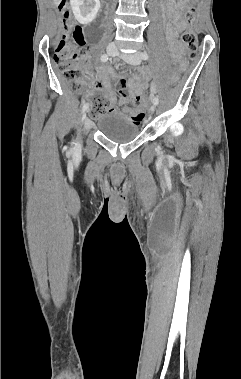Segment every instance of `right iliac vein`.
I'll list each match as a JSON object with an SVG mask.
<instances>
[{
  "mask_svg": "<svg viewBox=\"0 0 241 379\" xmlns=\"http://www.w3.org/2000/svg\"><path fill=\"white\" fill-rule=\"evenodd\" d=\"M106 50L110 56H115L117 54V48L114 43L108 44ZM82 121L84 122V129L89 130L91 125L90 121L87 119V110H85L82 115Z\"/></svg>",
  "mask_w": 241,
  "mask_h": 379,
  "instance_id": "right-iliac-vein-1",
  "label": "right iliac vein"
}]
</instances>
